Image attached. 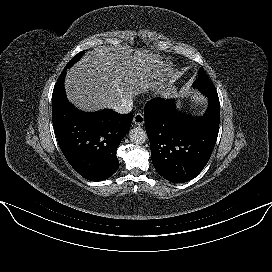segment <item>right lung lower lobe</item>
<instances>
[{
    "label": "right lung lower lobe",
    "instance_id": "right-lung-lower-lobe-1",
    "mask_svg": "<svg viewBox=\"0 0 272 272\" xmlns=\"http://www.w3.org/2000/svg\"><path fill=\"white\" fill-rule=\"evenodd\" d=\"M133 114L105 109L83 113L71 105L64 84L52 94V121L60 149L84 178L102 181L119 168L116 150L128 133Z\"/></svg>",
    "mask_w": 272,
    "mask_h": 272
}]
</instances>
